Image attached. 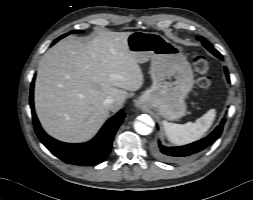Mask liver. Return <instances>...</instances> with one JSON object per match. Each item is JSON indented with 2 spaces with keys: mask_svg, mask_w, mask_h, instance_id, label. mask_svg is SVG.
<instances>
[{
  "mask_svg": "<svg viewBox=\"0 0 253 200\" xmlns=\"http://www.w3.org/2000/svg\"><path fill=\"white\" fill-rule=\"evenodd\" d=\"M132 32L103 31L91 41L69 37L50 48L39 64L35 110L44 130L65 142L91 139L124 104L127 91L139 90L144 77L130 53ZM114 99L111 109L103 104Z\"/></svg>",
  "mask_w": 253,
  "mask_h": 200,
  "instance_id": "6515ba94",
  "label": "liver"
}]
</instances>
